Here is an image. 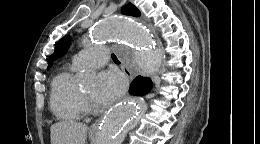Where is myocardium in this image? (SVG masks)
I'll use <instances>...</instances> for the list:
<instances>
[{
    "label": "myocardium",
    "mask_w": 260,
    "mask_h": 144,
    "mask_svg": "<svg viewBox=\"0 0 260 144\" xmlns=\"http://www.w3.org/2000/svg\"><path fill=\"white\" fill-rule=\"evenodd\" d=\"M81 95L84 102H90V97L83 90H81Z\"/></svg>",
    "instance_id": "f54148a6"
}]
</instances>
